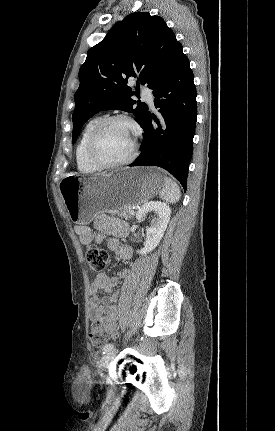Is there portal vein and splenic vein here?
Segmentation results:
<instances>
[{
  "label": "portal vein and splenic vein",
  "instance_id": "18ae733b",
  "mask_svg": "<svg viewBox=\"0 0 275 431\" xmlns=\"http://www.w3.org/2000/svg\"><path fill=\"white\" fill-rule=\"evenodd\" d=\"M128 212H129V214H131V215H134V214H135V211H134V210H132V209H129V210H128Z\"/></svg>",
  "mask_w": 275,
  "mask_h": 431
}]
</instances>
